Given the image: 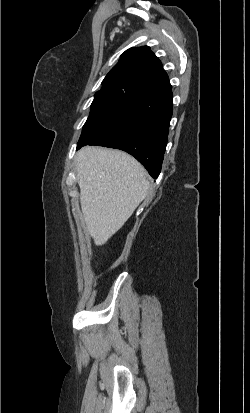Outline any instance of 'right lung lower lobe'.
Listing matches in <instances>:
<instances>
[{
  "label": "right lung lower lobe",
  "instance_id": "1",
  "mask_svg": "<svg viewBox=\"0 0 250 413\" xmlns=\"http://www.w3.org/2000/svg\"><path fill=\"white\" fill-rule=\"evenodd\" d=\"M171 116V89L139 96L131 100L114 122L88 145L126 151L156 179L161 171Z\"/></svg>",
  "mask_w": 250,
  "mask_h": 413
}]
</instances>
